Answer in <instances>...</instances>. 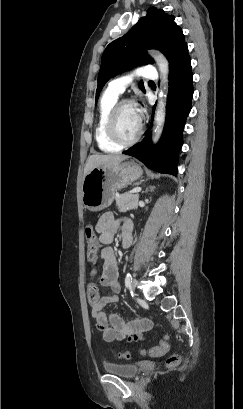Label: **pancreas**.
<instances>
[{"instance_id":"cf45deb5","label":"pancreas","mask_w":243,"mask_h":409,"mask_svg":"<svg viewBox=\"0 0 243 409\" xmlns=\"http://www.w3.org/2000/svg\"><path fill=\"white\" fill-rule=\"evenodd\" d=\"M138 194L115 195L117 208L120 212H127L138 207Z\"/></svg>"}]
</instances>
